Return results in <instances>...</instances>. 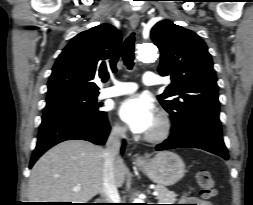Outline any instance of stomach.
<instances>
[{
	"instance_id": "stomach-1",
	"label": "stomach",
	"mask_w": 253,
	"mask_h": 205,
	"mask_svg": "<svg viewBox=\"0 0 253 205\" xmlns=\"http://www.w3.org/2000/svg\"><path fill=\"white\" fill-rule=\"evenodd\" d=\"M138 166L152 181L162 186L175 184L186 172L183 160L171 151L159 152Z\"/></svg>"
}]
</instances>
